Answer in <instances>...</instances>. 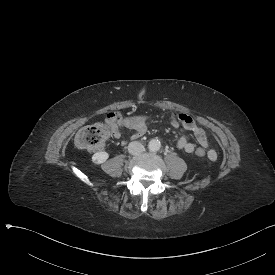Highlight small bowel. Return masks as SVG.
Returning <instances> with one entry per match:
<instances>
[{"label":"small bowel","instance_id":"small-bowel-1","mask_svg":"<svg viewBox=\"0 0 275 275\" xmlns=\"http://www.w3.org/2000/svg\"><path fill=\"white\" fill-rule=\"evenodd\" d=\"M169 114L173 115L172 125L174 127L182 126L184 131L192 132L195 135L198 143L203 148L209 149V142H208V139H207V136H206L205 132L195 123V121L193 120V118L190 115L185 114V113H175L174 110H170ZM121 116H122V113L120 111H117L115 113H111L109 115V118L111 120H116V119H119ZM122 127H127V128L132 129L134 131L133 134H132L133 139H137V138L142 137L144 135L145 131H146L145 120L140 121L138 124H134V125H131V126L124 125V126L118 127V126L114 125L113 126V132H114V136L116 138H119L121 136V130L120 129ZM176 147L178 149L184 150L187 153H192L194 151L195 145L192 142H190L187 139L186 135L183 133L180 136V138L178 139V141L176 143ZM213 153H215V151H213V150L208 151L209 155H211ZM216 158H217V155H216Z\"/></svg>","mask_w":275,"mask_h":275}]
</instances>
